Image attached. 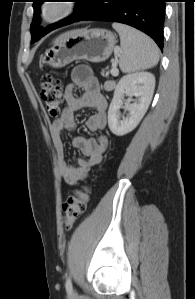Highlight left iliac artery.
<instances>
[{
    "label": "left iliac artery",
    "mask_w": 195,
    "mask_h": 299,
    "mask_svg": "<svg viewBox=\"0 0 195 299\" xmlns=\"http://www.w3.org/2000/svg\"><path fill=\"white\" fill-rule=\"evenodd\" d=\"M65 287H66V291L68 293H72V283H71V279L69 277L66 280Z\"/></svg>",
    "instance_id": "obj_1"
}]
</instances>
